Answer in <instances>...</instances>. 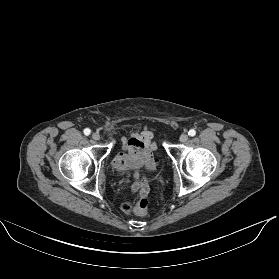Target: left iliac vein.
Masks as SVG:
<instances>
[{"label":"left iliac vein","mask_w":279,"mask_h":279,"mask_svg":"<svg viewBox=\"0 0 279 279\" xmlns=\"http://www.w3.org/2000/svg\"><path fill=\"white\" fill-rule=\"evenodd\" d=\"M180 142L185 143L188 141V135L187 134H182L179 138Z\"/></svg>","instance_id":"left-iliac-vein-1"}]
</instances>
